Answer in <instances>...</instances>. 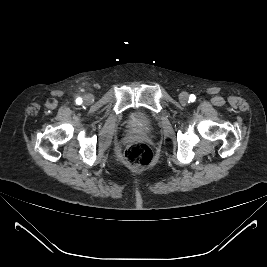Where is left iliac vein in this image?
<instances>
[{"label": "left iliac vein", "instance_id": "obj_1", "mask_svg": "<svg viewBox=\"0 0 267 267\" xmlns=\"http://www.w3.org/2000/svg\"><path fill=\"white\" fill-rule=\"evenodd\" d=\"M188 94L186 92H181L179 95V100L182 104H186L188 102Z\"/></svg>", "mask_w": 267, "mask_h": 267}]
</instances>
